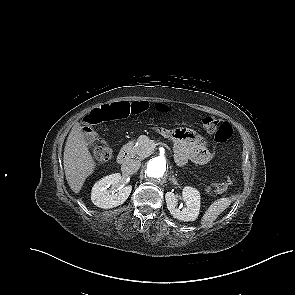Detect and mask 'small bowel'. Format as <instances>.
<instances>
[{
  "label": "small bowel",
  "instance_id": "obj_1",
  "mask_svg": "<svg viewBox=\"0 0 295 295\" xmlns=\"http://www.w3.org/2000/svg\"><path fill=\"white\" fill-rule=\"evenodd\" d=\"M163 133L175 141L174 155L179 166L189 161L196 164H207L213 157L207 142L196 132L189 129L163 130Z\"/></svg>",
  "mask_w": 295,
  "mask_h": 295
}]
</instances>
